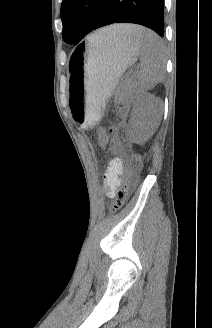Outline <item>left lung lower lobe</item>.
I'll return each mask as SVG.
<instances>
[{
  "mask_svg": "<svg viewBox=\"0 0 212 328\" xmlns=\"http://www.w3.org/2000/svg\"><path fill=\"white\" fill-rule=\"evenodd\" d=\"M164 0H104L93 30L113 23H135L164 35Z\"/></svg>",
  "mask_w": 212,
  "mask_h": 328,
  "instance_id": "1",
  "label": "left lung lower lobe"
}]
</instances>
